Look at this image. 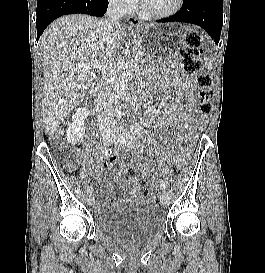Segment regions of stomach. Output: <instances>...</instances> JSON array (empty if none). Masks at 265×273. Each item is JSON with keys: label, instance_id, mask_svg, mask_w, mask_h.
<instances>
[{"label": "stomach", "instance_id": "stomach-1", "mask_svg": "<svg viewBox=\"0 0 265 273\" xmlns=\"http://www.w3.org/2000/svg\"><path fill=\"white\" fill-rule=\"evenodd\" d=\"M186 30H195V25H154L136 28L131 34L137 37L138 44H132V49L148 50L138 55L140 64H173L175 51L163 49H177V45H180L186 35Z\"/></svg>", "mask_w": 265, "mask_h": 273}]
</instances>
